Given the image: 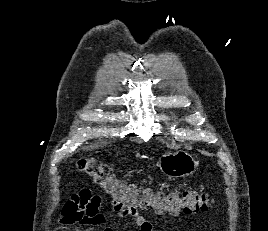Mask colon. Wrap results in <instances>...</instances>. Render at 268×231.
Wrapping results in <instances>:
<instances>
[{
  "mask_svg": "<svg viewBox=\"0 0 268 231\" xmlns=\"http://www.w3.org/2000/svg\"><path fill=\"white\" fill-rule=\"evenodd\" d=\"M77 166L97 185L114 204L127 210L132 207L153 209L159 213L178 215L209 211L214 200L207 194L188 190L182 193L154 191L147 187L126 183L111 174L108 166L95 158H82ZM84 195V193H81Z\"/></svg>",
  "mask_w": 268,
  "mask_h": 231,
  "instance_id": "colon-1",
  "label": "colon"
}]
</instances>
